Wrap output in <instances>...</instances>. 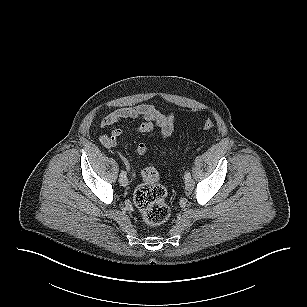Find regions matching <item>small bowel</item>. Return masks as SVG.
<instances>
[{"mask_svg": "<svg viewBox=\"0 0 307 307\" xmlns=\"http://www.w3.org/2000/svg\"><path fill=\"white\" fill-rule=\"evenodd\" d=\"M139 118L143 119V122L136 129L138 134H149L157 129L163 138H168L173 132L175 116L173 114H164L151 104H141L136 107H124L116 109L103 117L100 126L102 128H106L120 121ZM122 135L123 131L119 128H116L113 129L109 134L101 135L100 142L106 148H113ZM147 152L148 146L146 144L140 143L136 146L137 155L141 156ZM119 157L131 176H135L137 170L136 168L132 167L129 159L123 154H119Z\"/></svg>", "mask_w": 307, "mask_h": 307, "instance_id": "c3829d8e", "label": "small bowel"}]
</instances>
